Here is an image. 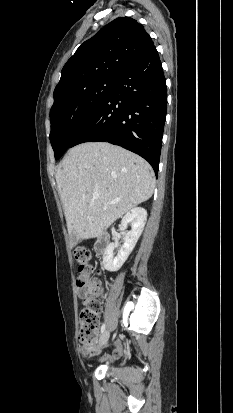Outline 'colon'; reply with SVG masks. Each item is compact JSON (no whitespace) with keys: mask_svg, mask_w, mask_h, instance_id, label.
Wrapping results in <instances>:
<instances>
[{"mask_svg":"<svg viewBox=\"0 0 233 413\" xmlns=\"http://www.w3.org/2000/svg\"><path fill=\"white\" fill-rule=\"evenodd\" d=\"M74 258L78 265L77 289L80 296L86 297L85 307L79 317L78 339L82 345L83 353L89 355L95 350L99 314L102 308L99 299L91 294L98 291L100 282L97 278V267L91 259L89 250H76Z\"/></svg>","mask_w":233,"mask_h":413,"instance_id":"1","label":"colon"}]
</instances>
